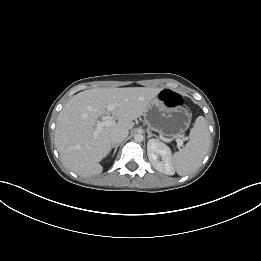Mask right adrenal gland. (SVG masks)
I'll return each mask as SVG.
<instances>
[{"instance_id":"1","label":"right adrenal gland","mask_w":261,"mask_h":261,"mask_svg":"<svg viewBox=\"0 0 261 261\" xmlns=\"http://www.w3.org/2000/svg\"><path fill=\"white\" fill-rule=\"evenodd\" d=\"M119 145H120V144L112 145V146H111L110 151L114 148L113 156H115V154H116V152H117V149H118Z\"/></svg>"}]
</instances>
